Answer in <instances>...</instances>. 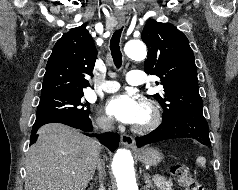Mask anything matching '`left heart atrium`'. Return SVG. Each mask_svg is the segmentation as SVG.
<instances>
[{
	"label": "left heart atrium",
	"mask_w": 238,
	"mask_h": 190,
	"mask_svg": "<svg viewBox=\"0 0 238 190\" xmlns=\"http://www.w3.org/2000/svg\"><path fill=\"white\" fill-rule=\"evenodd\" d=\"M141 104L136 96L130 93H123L112 97L106 106L107 113L116 120L133 124L136 122Z\"/></svg>",
	"instance_id": "1"
}]
</instances>
